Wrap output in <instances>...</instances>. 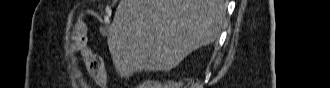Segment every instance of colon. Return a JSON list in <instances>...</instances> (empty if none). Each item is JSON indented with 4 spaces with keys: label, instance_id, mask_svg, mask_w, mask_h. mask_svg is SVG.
I'll return each instance as SVG.
<instances>
[{
    "label": "colon",
    "instance_id": "obj_1",
    "mask_svg": "<svg viewBox=\"0 0 330 88\" xmlns=\"http://www.w3.org/2000/svg\"><path fill=\"white\" fill-rule=\"evenodd\" d=\"M71 40H72L73 48L82 52L85 58L87 71L90 74V76L98 84H104L106 81V76L103 69L101 58L97 53L87 48L84 39L81 35L80 28H75L71 32Z\"/></svg>",
    "mask_w": 330,
    "mask_h": 88
}]
</instances>
